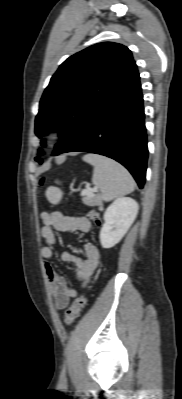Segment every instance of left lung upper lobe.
Segmentation results:
<instances>
[{"instance_id":"5c2ea615","label":"left lung upper lobe","mask_w":182,"mask_h":399,"mask_svg":"<svg viewBox=\"0 0 182 399\" xmlns=\"http://www.w3.org/2000/svg\"><path fill=\"white\" fill-rule=\"evenodd\" d=\"M137 75L131 51L121 44L99 43L70 56L43 93L35 120L36 135L41 138L59 129L62 140L54 155L61 153L102 106Z\"/></svg>"}]
</instances>
